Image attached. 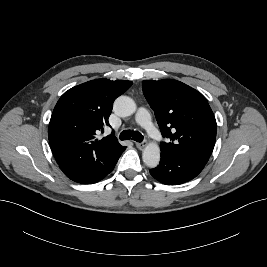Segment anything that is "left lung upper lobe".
I'll return each instance as SVG.
<instances>
[{
  "mask_svg": "<svg viewBox=\"0 0 267 267\" xmlns=\"http://www.w3.org/2000/svg\"><path fill=\"white\" fill-rule=\"evenodd\" d=\"M145 98L155 113L162 136L161 152L206 162L212 154L217 132L214 114L206 98L176 80H144Z\"/></svg>",
  "mask_w": 267,
  "mask_h": 267,
  "instance_id": "left-lung-upper-lobe-1",
  "label": "left lung upper lobe"
}]
</instances>
